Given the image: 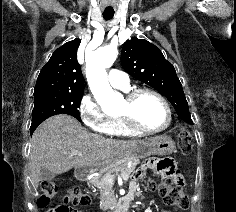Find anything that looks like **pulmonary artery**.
Wrapping results in <instances>:
<instances>
[{
  "label": "pulmonary artery",
  "mask_w": 236,
  "mask_h": 212,
  "mask_svg": "<svg viewBox=\"0 0 236 212\" xmlns=\"http://www.w3.org/2000/svg\"><path fill=\"white\" fill-rule=\"evenodd\" d=\"M108 80L111 86L120 89L128 88L130 82L128 75L118 69H111L109 71Z\"/></svg>",
  "instance_id": "1"
}]
</instances>
